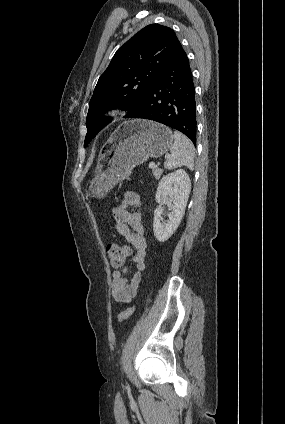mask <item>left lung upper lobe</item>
Wrapping results in <instances>:
<instances>
[{
    "mask_svg": "<svg viewBox=\"0 0 285 424\" xmlns=\"http://www.w3.org/2000/svg\"><path fill=\"white\" fill-rule=\"evenodd\" d=\"M179 43L174 31L151 24L122 45L100 76L89 103L84 147L109 123L102 115L113 108L130 109L165 69Z\"/></svg>",
    "mask_w": 285,
    "mask_h": 424,
    "instance_id": "obj_1",
    "label": "left lung upper lobe"
}]
</instances>
